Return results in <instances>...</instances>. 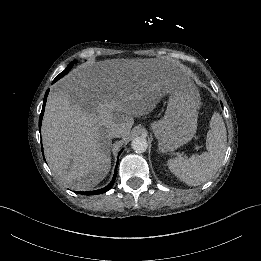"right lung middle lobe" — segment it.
Returning a JSON list of instances; mask_svg holds the SVG:
<instances>
[{"label": "right lung middle lobe", "instance_id": "1", "mask_svg": "<svg viewBox=\"0 0 261 261\" xmlns=\"http://www.w3.org/2000/svg\"><path fill=\"white\" fill-rule=\"evenodd\" d=\"M76 62H77L76 60L72 61V62L67 66V68H66L63 72H61V73L54 79L53 83L56 82L57 80H59L60 78H62L64 75H66V74L70 71V69L72 68V66H73Z\"/></svg>", "mask_w": 261, "mask_h": 261}]
</instances>
